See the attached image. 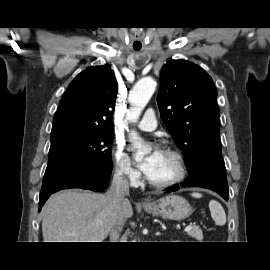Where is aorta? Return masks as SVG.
I'll list each match as a JSON object with an SVG mask.
<instances>
[{"mask_svg": "<svg viewBox=\"0 0 270 270\" xmlns=\"http://www.w3.org/2000/svg\"><path fill=\"white\" fill-rule=\"evenodd\" d=\"M156 88V82L151 77H145L140 79L132 88L129 94L130 108L126 114V118L130 122H137L142 110L152 97ZM131 140H139L140 137L136 132L130 133ZM150 149L144 151H138L135 155V160L140 161Z\"/></svg>", "mask_w": 270, "mask_h": 270, "instance_id": "1", "label": "aorta"}]
</instances>
